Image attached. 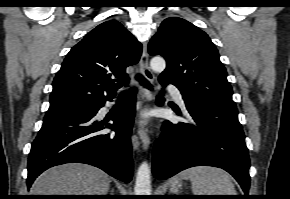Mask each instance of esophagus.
Listing matches in <instances>:
<instances>
[{
    "mask_svg": "<svg viewBox=\"0 0 290 199\" xmlns=\"http://www.w3.org/2000/svg\"><path fill=\"white\" fill-rule=\"evenodd\" d=\"M140 69L142 75L149 81L153 82L154 81V74L151 71L148 63V53H147V44H143V50H142V55L140 59ZM140 92L142 94L143 100L148 102L151 99V92L148 88H145L143 86H140ZM138 136L142 142L143 148L147 150L150 145V137L148 135V130L143 126L140 125L138 128Z\"/></svg>",
    "mask_w": 290,
    "mask_h": 199,
    "instance_id": "34e87169",
    "label": "esophagus"
}]
</instances>
